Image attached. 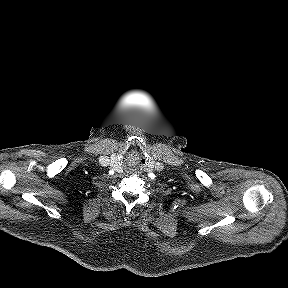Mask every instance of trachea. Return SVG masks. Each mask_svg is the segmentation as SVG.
Returning <instances> with one entry per match:
<instances>
[{
    "label": "trachea",
    "instance_id": "obj_1",
    "mask_svg": "<svg viewBox=\"0 0 288 288\" xmlns=\"http://www.w3.org/2000/svg\"><path fill=\"white\" fill-rule=\"evenodd\" d=\"M139 159L140 157L137 153L131 152L128 154L126 160L129 165H136L139 162Z\"/></svg>",
    "mask_w": 288,
    "mask_h": 288
}]
</instances>
